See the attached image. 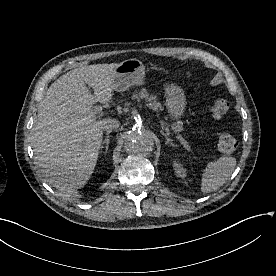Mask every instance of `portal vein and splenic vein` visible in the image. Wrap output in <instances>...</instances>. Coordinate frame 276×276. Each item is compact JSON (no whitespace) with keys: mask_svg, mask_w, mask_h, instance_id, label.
Returning <instances> with one entry per match:
<instances>
[{"mask_svg":"<svg viewBox=\"0 0 276 276\" xmlns=\"http://www.w3.org/2000/svg\"><path fill=\"white\" fill-rule=\"evenodd\" d=\"M94 113L99 115V116H102L103 115V112H102V107L101 106H95L94 109H93ZM177 139L183 144V146L188 150V151H191V148L190 146L188 145L187 141L180 135V134H177Z\"/></svg>","mask_w":276,"mask_h":276,"instance_id":"18ae733b","label":"portal vein and splenic vein"}]
</instances>
